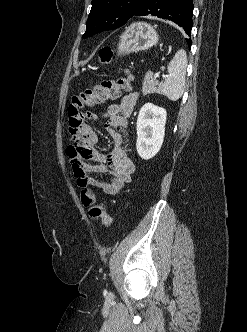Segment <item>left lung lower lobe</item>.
<instances>
[{
    "label": "left lung lower lobe",
    "instance_id": "obj_1",
    "mask_svg": "<svg viewBox=\"0 0 247 332\" xmlns=\"http://www.w3.org/2000/svg\"><path fill=\"white\" fill-rule=\"evenodd\" d=\"M193 1L192 0H146L134 16H157L171 20L183 27L188 36H191L193 26ZM188 46L191 39H186Z\"/></svg>",
    "mask_w": 247,
    "mask_h": 332
}]
</instances>
